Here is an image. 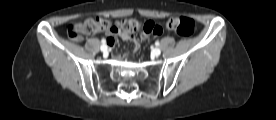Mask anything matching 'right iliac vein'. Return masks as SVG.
<instances>
[{
	"instance_id": "right-iliac-vein-1",
	"label": "right iliac vein",
	"mask_w": 276,
	"mask_h": 120,
	"mask_svg": "<svg viewBox=\"0 0 276 120\" xmlns=\"http://www.w3.org/2000/svg\"><path fill=\"white\" fill-rule=\"evenodd\" d=\"M102 52H106L107 51V46L106 45H101L100 47Z\"/></svg>"
}]
</instances>
